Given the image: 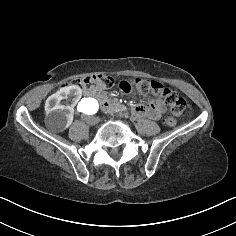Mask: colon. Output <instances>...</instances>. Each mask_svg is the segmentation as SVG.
I'll return each mask as SVG.
<instances>
[{"label":"colon","instance_id":"1","mask_svg":"<svg viewBox=\"0 0 236 236\" xmlns=\"http://www.w3.org/2000/svg\"><path fill=\"white\" fill-rule=\"evenodd\" d=\"M75 85L81 89L87 90H100L109 89L114 85L113 79L105 74L96 73L87 75L85 77L73 79L70 83L65 85ZM120 90L124 93H128L133 87H135L141 93H154L161 96L165 102L169 105L172 116L165 119V125L173 127L176 124V117L183 114L186 102L172 89L163 86L161 83L153 80H147L142 78H136L133 80L123 79L118 84Z\"/></svg>","mask_w":236,"mask_h":236}]
</instances>
